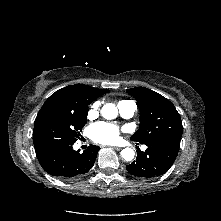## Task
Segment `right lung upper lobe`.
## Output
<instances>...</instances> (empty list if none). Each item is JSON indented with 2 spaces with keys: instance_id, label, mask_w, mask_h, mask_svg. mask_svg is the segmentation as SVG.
<instances>
[{
  "instance_id": "obj_1",
  "label": "right lung upper lobe",
  "mask_w": 221,
  "mask_h": 221,
  "mask_svg": "<svg viewBox=\"0 0 221 221\" xmlns=\"http://www.w3.org/2000/svg\"><path fill=\"white\" fill-rule=\"evenodd\" d=\"M107 92V89H96L83 84H75L56 91L49 99H62L69 107H78L83 103L89 105Z\"/></svg>"
}]
</instances>
